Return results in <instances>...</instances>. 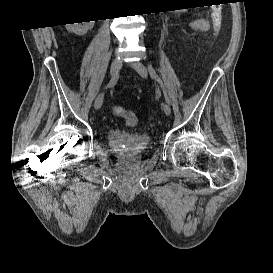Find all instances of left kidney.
Returning <instances> with one entry per match:
<instances>
[{"label":"left kidney","instance_id":"left-kidney-1","mask_svg":"<svg viewBox=\"0 0 273 273\" xmlns=\"http://www.w3.org/2000/svg\"><path fill=\"white\" fill-rule=\"evenodd\" d=\"M185 11H187V9L175 10L174 12L177 13V14H180V13H183Z\"/></svg>","mask_w":273,"mask_h":273}]
</instances>
